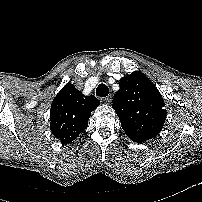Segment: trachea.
<instances>
[{
  "instance_id": "obj_1",
  "label": "trachea",
  "mask_w": 202,
  "mask_h": 202,
  "mask_svg": "<svg viewBox=\"0 0 202 202\" xmlns=\"http://www.w3.org/2000/svg\"><path fill=\"white\" fill-rule=\"evenodd\" d=\"M109 94V89L107 87V85L101 83L98 85V87L96 88V95L99 97H106Z\"/></svg>"
}]
</instances>
